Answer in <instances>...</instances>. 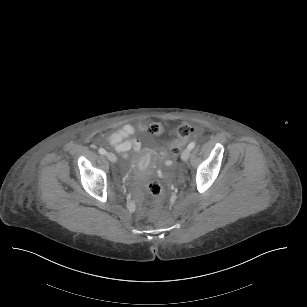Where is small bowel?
Returning a JSON list of instances; mask_svg holds the SVG:
<instances>
[{
	"instance_id": "c3829d8e",
	"label": "small bowel",
	"mask_w": 307,
	"mask_h": 307,
	"mask_svg": "<svg viewBox=\"0 0 307 307\" xmlns=\"http://www.w3.org/2000/svg\"><path fill=\"white\" fill-rule=\"evenodd\" d=\"M140 131L145 130V126L142 124L138 125ZM135 132V127L132 124H124L119 130L111 133L108 136V142L118 151L119 153H127L130 150H138L140 148V142L135 139H131V136Z\"/></svg>"
}]
</instances>
